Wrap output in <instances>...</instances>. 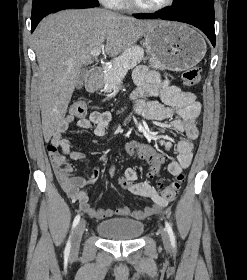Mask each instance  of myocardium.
I'll return each instance as SVG.
<instances>
[{
  "instance_id": "1",
  "label": "myocardium",
  "mask_w": 247,
  "mask_h": 280,
  "mask_svg": "<svg viewBox=\"0 0 247 280\" xmlns=\"http://www.w3.org/2000/svg\"><path fill=\"white\" fill-rule=\"evenodd\" d=\"M128 2V4L141 12H146V13H156V12H160L163 10L168 9L169 7H171L175 0H165L162 4L160 5H156V6H144L141 3L138 2V0H126Z\"/></svg>"
}]
</instances>
